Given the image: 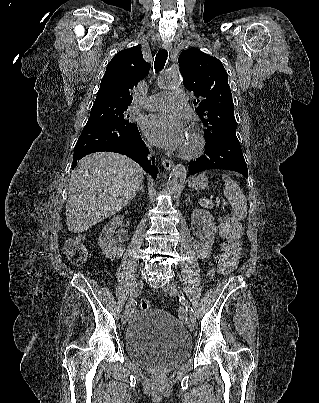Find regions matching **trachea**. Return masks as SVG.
I'll list each match as a JSON object with an SVG mask.
<instances>
[{
    "mask_svg": "<svg viewBox=\"0 0 319 403\" xmlns=\"http://www.w3.org/2000/svg\"><path fill=\"white\" fill-rule=\"evenodd\" d=\"M168 52L165 49L160 50L155 57L154 68L156 72L161 71L167 61Z\"/></svg>",
    "mask_w": 319,
    "mask_h": 403,
    "instance_id": "obj_1",
    "label": "trachea"
}]
</instances>
